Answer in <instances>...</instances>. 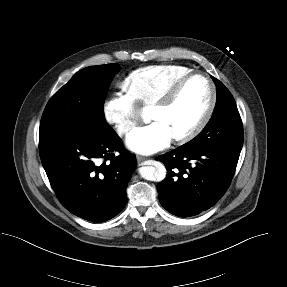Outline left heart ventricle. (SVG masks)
I'll list each match as a JSON object with an SVG mask.
<instances>
[{
  "label": "left heart ventricle",
  "instance_id": "left-heart-ventricle-1",
  "mask_svg": "<svg viewBox=\"0 0 287 287\" xmlns=\"http://www.w3.org/2000/svg\"><path fill=\"white\" fill-rule=\"evenodd\" d=\"M210 100V89L201 77L190 79L167 108H152L149 118L162 122L173 137L193 128L203 116Z\"/></svg>",
  "mask_w": 287,
  "mask_h": 287
}]
</instances>
